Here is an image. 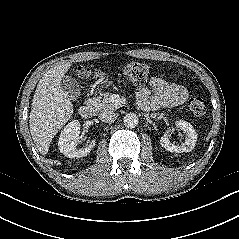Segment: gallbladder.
<instances>
[{"mask_svg": "<svg viewBox=\"0 0 239 239\" xmlns=\"http://www.w3.org/2000/svg\"><path fill=\"white\" fill-rule=\"evenodd\" d=\"M61 88L68 94L69 98L72 100H76L80 96L78 82L70 76H64L61 79Z\"/></svg>", "mask_w": 239, "mask_h": 239, "instance_id": "obj_1", "label": "gallbladder"}]
</instances>
